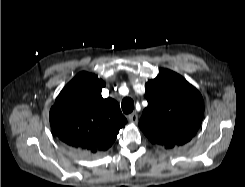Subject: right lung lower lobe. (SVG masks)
Returning a JSON list of instances; mask_svg holds the SVG:
<instances>
[{
  "label": "right lung lower lobe",
  "mask_w": 245,
  "mask_h": 187,
  "mask_svg": "<svg viewBox=\"0 0 245 187\" xmlns=\"http://www.w3.org/2000/svg\"><path fill=\"white\" fill-rule=\"evenodd\" d=\"M73 149V148H72ZM73 150H75L76 152H78V153H81L82 155H89L90 153H88V152H85V151H81V150H77V149H73Z\"/></svg>",
  "instance_id": "right-lung-lower-lobe-1"
}]
</instances>
